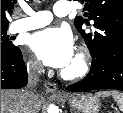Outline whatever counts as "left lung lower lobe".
<instances>
[{"label":"left lung lower lobe","mask_w":123,"mask_h":113,"mask_svg":"<svg viewBox=\"0 0 123 113\" xmlns=\"http://www.w3.org/2000/svg\"><path fill=\"white\" fill-rule=\"evenodd\" d=\"M92 58L88 75L83 80L69 85L67 90L72 92H88L97 89L123 91V47Z\"/></svg>","instance_id":"obj_1"}]
</instances>
